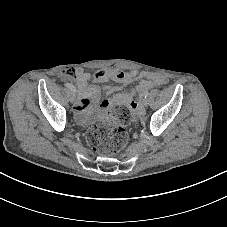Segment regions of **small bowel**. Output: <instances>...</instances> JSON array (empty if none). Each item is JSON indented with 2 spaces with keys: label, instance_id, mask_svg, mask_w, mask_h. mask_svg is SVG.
Returning <instances> with one entry per match:
<instances>
[{
  "label": "small bowel",
  "instance_id": "1",
  "mask_svg": "<svg viewBox=\"0 0 227 227\" xmlns=\"http://www.w3.org/2000/svg\"><path fill=\"white\" fill-rule=\"evenodd\" d=\"M138 74L135 70L124 72L118 68H106L98 70L92 74L83 72L82 70L76 71L75 81L79 91V100L75 105V117L80 124H86L89 121V111L92 106L98 101L101 89L97 85H88V80L92 79L96 82H106L114 80L121 83H131L135 81ZM166 78L154 74L147 79H144L131 94H117L112 99H105L102 101L101 106L104 109H109L113 105L126 104L133 111L140 113V105L134 100L136 95L141 96L144 92L154 86L165 84ZM112 89L108 88L107 92Z\"/></svg>",
  "mask_w": 227,
  "mask_h": 227
}]
</instances>
